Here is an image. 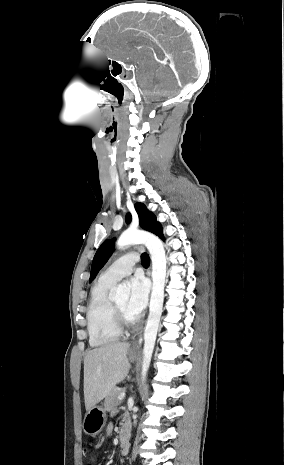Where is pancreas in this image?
I'll return each mask as SVG.
<instances>
[{
	"mask_svg": "<svg viewBox=\"0 0 284 465\" xmlns=\"http://www.w3.org/2000/svg\"><path fill=\"white\" fill-rule=\"evenodd\" d=\"M125 389H118V387H114L109 391L107 397H105L104 409L105 411H113L114 407L118 405L119 401L117 397L124 393Z\"/></svg>",
	"mask_w": 284,
	"mask_h": 465,
	"instance_id": "obj_1",
	"label": "pancreas"
}]
</instances>
